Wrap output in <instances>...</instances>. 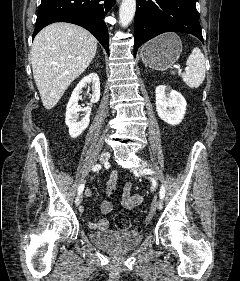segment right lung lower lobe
I'll return each mask as SVG.
<instances>
[{
	"label": "right lung lower lobe",
	"mask_w": 240,
	"mask_h": 281,
	"mask_svg": "<svg viewBox=\"0 0 240 281\" xmlns=\"http://www.w3.org/2000/svg\"><path fill=\"white\" fill-rule=\"evenodd\" d=\"M113 5L114 0H42L32 37L51 23H73L91 32L109 53V35L104 17Z\"/></svg>",
	"instance_id": "98d812e1"
}]
</instances>
